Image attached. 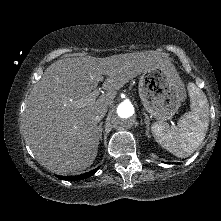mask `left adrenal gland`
<instances>
[{
    "instance_id": "obj_1",
    "label": "left adrenal gland",
    "mask_w": 221,
    "mask_h": 221,
    "mask_svg": "<svg viewBox=\"0 0 221 221\" xmlns=\"http://www.w3.org/2000/svg\"><path fill=\"white\" fill-rule=\"evenodd\" d=\"M143 115H144V117H145L144 122H145V124H146V128H147V129H146V135L149 136L150 119H149L148 115H147L145 112H143Z\"/></svg>"
}]
</instances>
